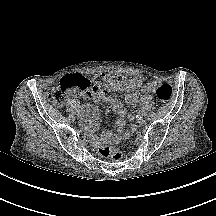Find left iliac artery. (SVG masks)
Here are the masks:
<instances>
[{
	"label": "left iliac artery",
	"mask_w": 216,
	"mask_h": 216,
	"mask_svg": "<svg viewBox=\"0 0 216 216\" xmlns=\"http://www.w3.org/2000/svg\"><path fill=\"white\" fill-rule=\"evenodd\" d=\"M141 113H142V110H141V109H137V110H136V115H137L138 118H139V116L141 115Z\"/></svg>",
	"instance_id": "44dca946"
}]
</instances>
